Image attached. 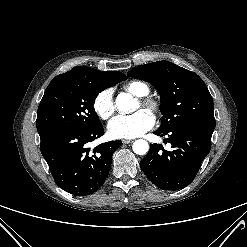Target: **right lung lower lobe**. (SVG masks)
Listing matches in <instances>:
<instances>
[{
  "mask_svg": "<svg viewBox=\"0 0 247 247\" xmlns=\"http://www.w3.org/2000/svg\"><path fill=\"white\" fill-rule=\"evenodd\" d=\"M104 134L103 126L70 129L40 137V149L58 186L76 196L89 195L106 180L120 140L102 143L93 150L89 143Z\"/></svg>",
  "mask_w": 247,
  "mask_h": 247,
  "instance_id": "1",
  "label": "right lung lower lobe"
}]
</instances>
